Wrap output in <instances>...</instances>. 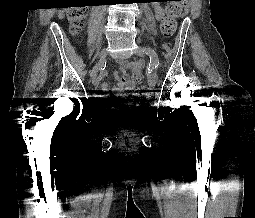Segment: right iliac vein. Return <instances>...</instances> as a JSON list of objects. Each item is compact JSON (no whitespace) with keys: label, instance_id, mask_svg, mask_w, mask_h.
Returning a JSON list of instances; mask_svg holds the SVG:
<instances>
[{"label":"right iliac vein","instance_id":"obj_1","mask_svg":"<svg viewBox=\"0 0 255 218\" xmlns=\"http://www.w3.org/2000/svg\"><path fill=\"white\" fill-rule=\"evenodd\" d=\"M106 56H107V49H103L100 54H99V59H98V62L95 64L94 66V71L91 75V79H92V84L94 86L98 85L99 83V77H98V73L103 65V63L105 62V59H106Z\"/></svg>","mask_w":255,"mask_h":218}]
</instances>
